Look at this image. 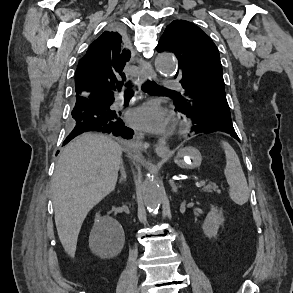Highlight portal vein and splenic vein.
I'll return each mask as SVG.
<instances>
[{"label": "portal vein and splenic vein", "mask_w": 293, "mask_h": 293, "mask_svg": "<svg viewBox=\"0 0 293 293\" xmlns=\"http://www.w3.org/2000/svg\"><path fill=\"white\" fill-rule=\"evenodd\" d=\"M204 184H205L204 181H201V182L198 183L199 186H203Z\"/></svg>", "instance_id": "obj_1"}]
</instances>
